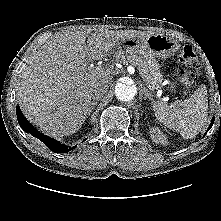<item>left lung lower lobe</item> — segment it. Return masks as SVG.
I'll list each match as a JSON object with an SVG mask.
<instances>
[{
	"label": "left lung lower lobe",
	"instance_id": "1",
	"mask_svg": "<svg viewBox=\"0 0 221 221\" xmlns=\"http://www.w3.org/2000/svg\"><path fill=\"white\" fill-rule=\"evenodd\" d=\"M213 123H214V118L211 120V123H210V126H209L208 130L212 127Z\"/></svg>",
	"mask_w": 221,
	"mask_h": 221
}]
</instances>
